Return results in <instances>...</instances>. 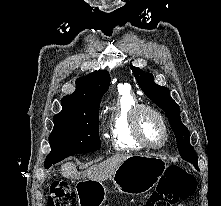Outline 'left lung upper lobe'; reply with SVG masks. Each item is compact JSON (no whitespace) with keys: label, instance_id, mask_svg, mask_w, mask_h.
Returning <instances> with one entry per match:
<instances>
[{"label":"left lung upper lobe","instance_id":"1","mask_svg":"<svg viewBox=\"0 0 221 206\" xmlns=\"http://www.w3.org/2000/svg\"><path fill=\"white\" fill-rule=\"evenodd\" d=\"M131 69L146 96L168 115L181 157L197 168V156L193 147L190 145L189 131L181 122L179 106L171 98L169 89L156 84L151 73H145L140 68L134 66H131Z\"/></svg>","mask_w":221,"mask_h":206}]
</instances>
